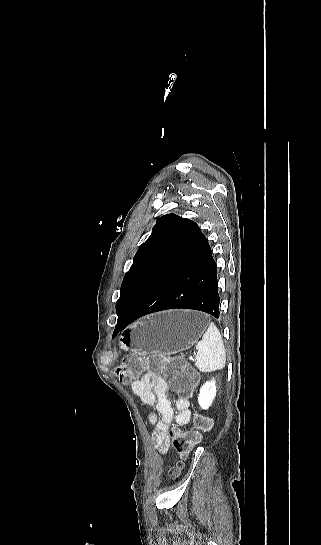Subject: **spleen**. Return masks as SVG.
Returning a JSON list of instances; mask_svg holds the SVG:
<instances>
[{"label":"spleen","mask_w":321,"mask_h":545,"mask_svg":"<svg viewBox=\"0 0 321 545\" xmlns=\"http://www.w3.org/2000/svg\"><path fill=\"white\" fill-rule=\"evenodd\" d=\"M196 349L195 365L200 373H212L225 367L226 349L215 323H210Z\"/></svg>","instance_id":"1"}]
</instances>
